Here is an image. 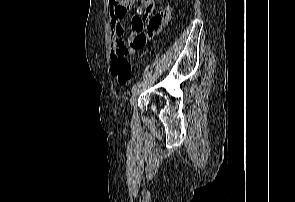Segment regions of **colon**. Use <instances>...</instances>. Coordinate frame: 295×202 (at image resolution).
<instances>
[{
  "label": "colon",
  "mask_w": 295,
  "mask_h": 202,
  "mask_svg": "<svg viewBox=\"0 0 295 202\" xmlns=\"http://www.w3.org/2000/svg\"><path fill=\"white\" fill-rule=\"evenodd\" d=\"M127 49L118 50L111 63V73L120 85H127L132 78L131 64Z\"/></svg>",
  "instance_id": "1"
}]
</instances>
